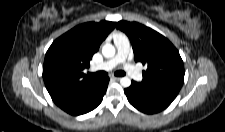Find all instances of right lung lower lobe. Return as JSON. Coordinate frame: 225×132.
Listing matches in <instances>:
<instances>
[{"instance_id": "1", "label": "right lung lower lobe", "mask_w": 225, "mask_h": 132, "mask_svg": "<svg viewBox=\"0 0 225 132\" xmlns=\"http://www.w3.org/2000/svg\"><path fill=\"white\" fill-rule=\"evenodd\" d=\"M109 83L108 77L98 78L93 86L81 96L61 104V109L71 115H82L95 109L102 101Z\"/></svg>"}]
</instances>
